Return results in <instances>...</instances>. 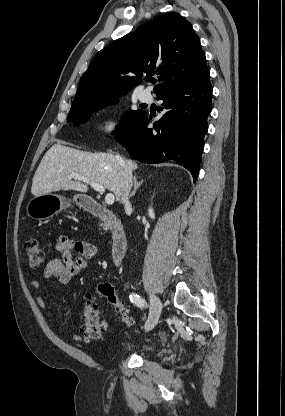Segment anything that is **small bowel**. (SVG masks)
<instances>
[{
  "mask_svg": "<svg viewBox=\"0 0 285 416\" xmlns=\"http://www.w3.org/2000/svg\"><path fill=\"white\" fill-rule=\"evenodd\" d=\"M56 250L61 254V258L51 259L43 272L42 280H34L32 286L35 289L41 287L44 282L51 280L57 281L61 285H67L79 274L86 266V260L95 256L96 247L87 241H74L66 236H61L56 242ZM74 253L77 257H74ZM38 305L47 309V302L44 297L38 296ZM51 318H55L50 314ZM74 341L80 342L83 336L77 333L69 335Z\"/></svg>",
  "mask_w": 285,
  "mask_h": 416,
  "instance_id": "small-bowel-1",
  "label": "small bowel"
}]
</instances>
